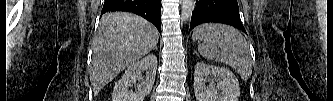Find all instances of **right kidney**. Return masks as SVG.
<instances>
[{
	"mask_svg": "<svg viewBox=\"0 0 333 101\" xmlns=\"http://www.w3.org/2000/svg\"><path fill=\"white\" fill-rule=\"evenodd\" d=\"M157 69V58L150 54L140 61L130 64L121 79L115 84L112 101H144L153 87ZM145 71L146 77H142ZM139 80L136 92L129 91L130 87L136 80Z\"/></svg>",
	"mask_w": 333,
	"mask_h": 101,
	"instance_id": "obj_1",
	"label": "right kidney"
}]
</instances>
